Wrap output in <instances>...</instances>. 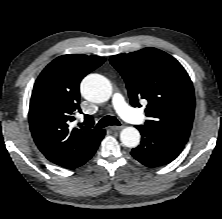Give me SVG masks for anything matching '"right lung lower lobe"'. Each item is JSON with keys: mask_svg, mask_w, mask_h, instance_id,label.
Masks as SVG:
<instances>
[{"mask_svg": "<svg viewBox=\"0 0 222 219\" xmlns=\"http://www.w3.org/2000/svg\"><path fill=\"white\" fill-rule=\"evenodd\" d=\"M105 130H101L98 138L95 140V142L91 145V147L86 151V153L80 158L72 167L70 168H77L85 164L96 152L101 140L103 139L105 135Z\"/></svg>", "mask_w": 222, "mask_h": 219, "instance_id": "98d812e1", "label": "right lung lower lobe"}]
</instances>
